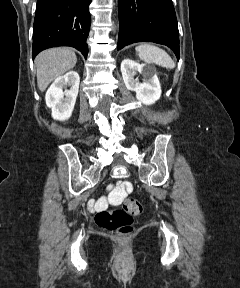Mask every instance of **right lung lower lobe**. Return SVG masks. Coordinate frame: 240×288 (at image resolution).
Returning <instances> with one entry per match:
<instances>
[{
  "label": "right lung lower lobe",
  "instance_id": "right-lung-lower-lobe-1",
  "mask_svg": "<svg viewBox=\"0 0 240 288\" xmlns=\"http://www.w3.org/2000/svg\"><path fill=\"white\" fill-rule=\"evenodd\" d=\"M91 0H37L33 26V58L42 50L71 46L87 58Z\"/></svg>",
  "mask_w": 240,
  "mask_h": 288
}]
</instances>
